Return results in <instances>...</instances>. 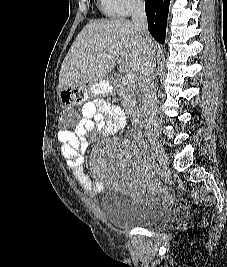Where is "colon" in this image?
Instances as JSON below:
<instances>
[{
    "instance_id": "5ec220e1",
    "label": "colon",
    "mask_w": 227,
    "mask_h": 267,
    "mask_svg": "<svg viewBox=\"0 0 227 267\" xmlns=\"http://www.w3.org/2000/svg\"><path fill=\"white\" fill-rule=\"evenodd\" d=\"M73 119H79L78 110H60V130H71Z\"/></svg>"
}]
</instances>
